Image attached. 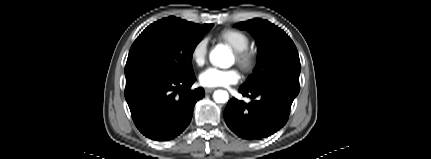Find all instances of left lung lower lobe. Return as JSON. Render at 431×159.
Returning <instances> with one entry per match:
<instances>
[{
    "mask_svg": "<svg viewBox=\"0 0 431 159\" xmlns=\"http://www.w3.org/2000/svg\"><path fill=\"white\" fill-rule=\"evenodd\" d=\"M299 85L276 80L256 88L240 87L239 92L251 102L230 99L224 110L227 126L237 136L247 140L266 138L287 122Z\"/></svg>",
    "mask_w": 431,
    "mask_h": 159,
    "instance_id": "1",
    "label": "left lung lower lobe"
}]
</instances>
